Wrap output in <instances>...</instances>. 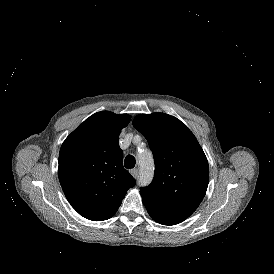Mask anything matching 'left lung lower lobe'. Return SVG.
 Segmentation results:
<instances>
[{
    "mask_svg": "<svg viewBox=\"0 0 274 274\" xmlns=\"http://www.w3.org/2000/svg\"><path fill=\"white\" fill-rule=\"evenodd\" d=\"M140 194L149 215L160 224L175 225L192 214L190 211L173 207L149 193L140 191Z\"/></svg>",
    "mask_w": 274,
    "mask_h": 274,
    "instance_id": "obj_1",
    "label": "left lung lower lobe"
}]
</instances>
